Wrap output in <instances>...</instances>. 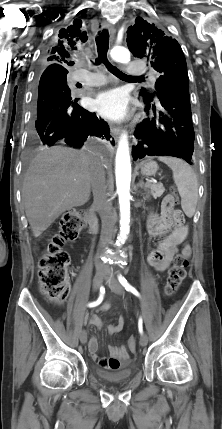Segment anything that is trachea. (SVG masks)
Here are the masks:
<instances>
[{
    "mask_svg": "<svg viewBox=\"0 0 222 429\" xmlns=\"http://www.w3.org/2000/svg\"><path fill=\"white\" fill-rule=\"evenodd\" d=\"M98 36L96 38L97 52L98 58L96 59V64L103 63L106 65L107 69L117 76L120 79H137L144 80L141 76H129L125 73L121 72L119 69L110 64L107 59V52L109 48V33L108 30H103L102 32H98Z\"/></svg>",
    "mask_w": 222,
    "mask_h": 429,
    "instance_id": "obj_1",
    "label": "trachea"
}]
</instances>
